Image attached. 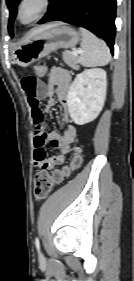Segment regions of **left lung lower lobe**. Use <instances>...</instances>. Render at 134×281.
<instances>
[{"instance_id": "obj_1", "label": "left lung lower lobe", "mask_w": 134, "mask_h": 281, "mask_svg": "<svg viewBox=\"0 0 134 281\" xmlns=\"http://www.w3.org/2000/svg\"><path fill=\"white\" fill-rule=\"evenodd\" d=\"M116 0H53L39 21H64L100 35L113 54Z\"/></svg>"}]
</instances>
